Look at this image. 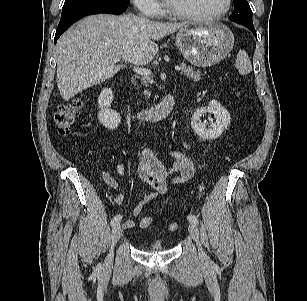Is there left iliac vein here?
Masks as SVG:
<instances>
[{
    "label": "left iliac vein",
    "instance_id": "4c4485c4",
    "mask_svg": "<svg viewBox=\"0 0 307 301\" xmlns=\"http://www.w3.org/2000/svg\"><path fill=\"white\" fill-rule=\"evenodd\" d=\"M188 230H189L190 236L193 238V240L197 244L198 254H199L200 259L202 261H206L207 260V255L204 252V250L202 249V246H201V243H200V240H199V231H198L197 226L194 223H190Z\"/></svg>",
    "mask_w": 307,
    "mask_h": 301
}]
</instances>
